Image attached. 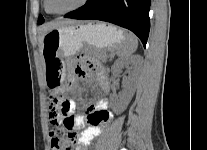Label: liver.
<instances>
[{"mask_svg":"<svg viewBox=\"0 0 207 150\" xmlns=\"http://www.w3.org/2000/svg\"><path fill=\"white\" fill-rule=\"evenodd\" d=\"M73 23H77V21L70 20V19H57L55 21L43 24L40 27V36H39L40 47L42 48L43 37L48 31L55 29V28H58V27H61L63 25L73 24Z\"/></svg>","mask_w":207,"mask_h":150,"instance_id":"6515ba94","label":"liver"}]
</instances>
